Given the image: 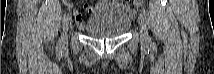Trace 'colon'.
Here are the masks:
<instances>
[{
	"label": "colon",
	"mask_w": 214,
	"mask_h": 74,
	"mask_svg": "<svg viewBox=\"0 0 214 74\" xmlns=\"http://www.w3.org/2000/svg\"><path fill=\"white\" fill-rule=\"evenodd\" d=\"M144 1L143 0H136L135 1V3L137 4V5H140V4H142Z\"/></svg>",
	"instance_id": "1"
}]
</instances>
